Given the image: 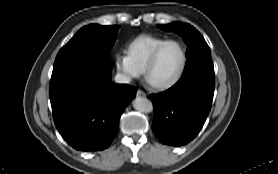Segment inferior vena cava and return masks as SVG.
<instances>
[{
  "label": "inferior vena cava",
  "instance_id": "602c4592",
  "mask_svg": "<svg viewBox=\"0 0 278 174\" xmlns=\"http://www.w3.org/2000/svg\"><path fill=\"white\" fill-rule=\"evenodd\" d=\"M130 79H131L130 76L122 74V73H118L115 76V82L119 83V84L129 83Z\"/></svg>",
  "mask_w": 278,
  "mask_h": 174
}]
</instances>
